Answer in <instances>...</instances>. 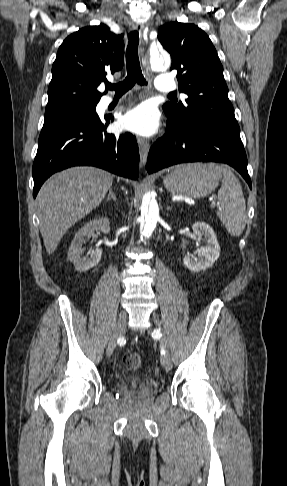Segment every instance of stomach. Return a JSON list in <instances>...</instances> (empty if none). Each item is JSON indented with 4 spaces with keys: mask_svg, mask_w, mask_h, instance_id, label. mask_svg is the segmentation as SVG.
Instances as JSON below:
<instances>
[{
    "mask_svg": "<svg viewBox=\"0 0 287 486\" xmlns=\"http://www.w3.org/2000/svg\"><path fill=\"white\" fill-rule=\"evenodd\" d=\"M221 177V173L208 164L189 163L179 165L168 173L163 184L171 193L199 198L209 195Z\"/></svg>",
    "mask_w": 287,
    "mask_h": 486,
    "instance_id": "1",
    "label": "stomach"
}]
</instances>
